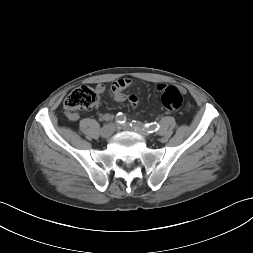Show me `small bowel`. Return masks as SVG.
I'll list each match as a JSON object with an SVG mask.
<instances>
[{
	"mask_svg": "<svg viewBox=\"0 0 253 253\" xmlns=\"http://www.w3.org/2000/svg\"><path fill=\"white\" fill-rule=\"evenodd\" d=\"M130 84H131V80L129 78H120V79L116 80L115 82H113L111 85L112 98L117 102L129 101V103L132 106H136V104L138 102V98L135 95L127 96L123 93V90L126 89L127 87H129ZM164 88H165L164 84H158V86H157V89L159 91H162ZM104 90H105V87L103 84L96 85V91L98 93H102V92H104ZM182 109L184 112L189 113L192 111L193 106L191 103L186 102L183 104ZM67 117L70 120H77L79 115L77 113L68 112ZM101 118L104 120H109L111 118V115H109L107 113H103V114H101Z\"/></svg>",
	"mask_w": 253,
	"mask_h": 253,
	"instance_id": "small-bowel-1",
	"label": "small bowel"
}]
</instances>
